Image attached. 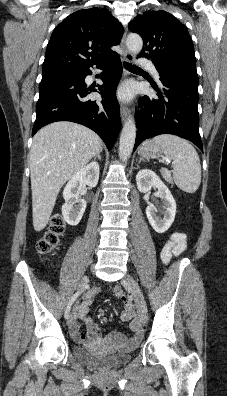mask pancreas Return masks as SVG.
<instances>
[{"label": "pancreas", "instance_id": "1", "mask_svg": "<svg viewBox=\"0 0 227 396\" xmlns=\"http://www.w3.org/2000/svg\"><path fill=\"white\" fill-rule=\"evenodd\" d=\"M164 178H165V180H166L168 183H170V184L173 183V182H172V178H171V176H170L169 174H164Z\"/></svg>", "mask_w": 227, "mask_h": 396}]
</instances>
